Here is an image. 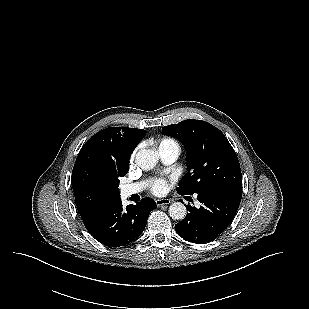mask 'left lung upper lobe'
I'll use <instances>...</instances> for the list:
<instances>
[{"mask_svg": "<svg viewBox=\"0 0 309 309\" xmlns=\"http://www.w3.org/2000/svg\"><path fill=\"white\" fill-rule=\"evenodd\" d=\"M164 135L180 140L187 150V173L179 182V194L242 192L237 155L225 135L201 120L188 119L162 128Z\"/></svg>", "mask_w": 309, "mask_h": 309, "instance_id": "1", "label": "left lung upper lobe"}]
</instances>
